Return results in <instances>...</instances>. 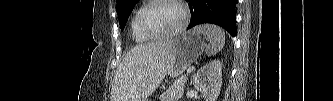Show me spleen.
Segmentation results:
<instances>
[{
  "instance_id": "3e777b00",
  "label": "spleen",
  "mask_w": 333,
  "mask_h": 101,
  "mask_svg": "<svg viewBox=\"0 0 333 101\" xmlns=\"http://www.w3.org/2000/svg\"><path fill=\"white\" fill-rule=\"evenodd\" d=\"M193 30L203 35L204 38L209 42L205 49L207 56L216 55L224 47L225 33L220 27L206 24L203 26L195 27Z\"/></svg>"
}]
</instances>
